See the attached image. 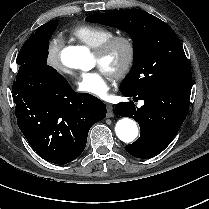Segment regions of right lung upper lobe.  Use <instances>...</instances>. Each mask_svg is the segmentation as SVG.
I'll return each mask as SVG.
<instances>
[{"label": "right lung upper lobe", "mask_w": 209, "mask_h": 209, "mask_svg": "<svg viewBox=\"0 0 209 209\" xmlns=\"http://www.w3.org/2000/svg\"><path fill=\"white\" fill-rule=\"evenodd\" d=\"M54 21H55V20H51V21L45 23L44 25L40 26V27L37 28V29H38V30H43V29L49 28L50 26L53 25ZM37 29H36V30H37Z\"/></svg>", "instance_id": "cb5924a9"}]
</instances>
